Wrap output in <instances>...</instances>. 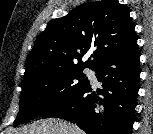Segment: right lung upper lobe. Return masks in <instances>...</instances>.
<instances>
[{"label": "right lung upper lobe", "instance_id": "right-lung-upper-lobe-1", "mask_svg": "<svg viewBox=\"0 0 153 134\" xmlns=\"http://www.w3.org/2000/svg\"><path fill=\"white\" fill-rule=\"evenodd\" d=\"M136 43L134 25L124 5L117 0L85 3L48 23L27 56L23 80L61 67L93 69L105 58ZM94 47L95 52L82 62V57Z\"/></svg>", "mask_w": 153, "mask_h": 134}]
</instances>
